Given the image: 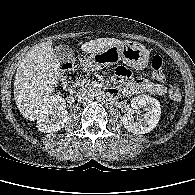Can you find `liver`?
I'll use <instances>...</instances> for the list:
<instances>
[{
  "mask_svg": "<svg viewBox=\"0 0 195 195\" xmlns=\"http://www.w3.org/2000/svg\"><path fill=\"white\" fill-rule=\"evenodd\" d=\"M127 41L99 38L82 44L85 53H98ZM61 77L60 61L52 41L36 45L22 59L14 80V99L20 113L27 119H38L45 100L51 97Z\"/></svg>",
  "mask_w": 195,
  "mask_h": 195,
  "instance_id": "liver-1",
  "label": "liver"
}]
</instances>
